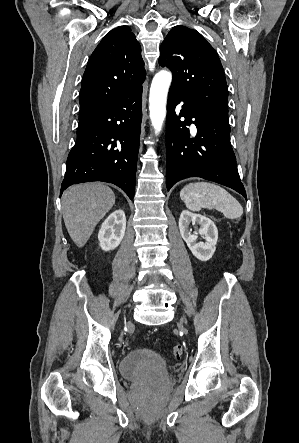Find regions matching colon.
Here are the masks:
<instances>
[{
  "label": "colon",
  "instance_id": "obj_1",
  "mask_svg": "<svg viewBox=\"0 0 299 443\" xmlns=\"http://www.w3.org/2000/svg\"><path fill=\"white\" fill-rule=\"evenodd\" d=\"M172 355H173L175 358H181L182 355H183V347H182L181 345H175V346L172 348Z\"/></svg>",
  "mask_w": 299,
  "mask_h": 443
}]
</instances>
